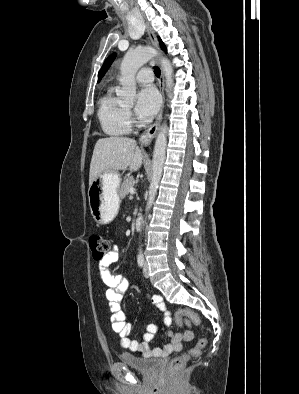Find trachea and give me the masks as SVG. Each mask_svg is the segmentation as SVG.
<instances>
[{"label": "trachea", "mask_w": 299, "mask_h": 394, "mask_svg": "<svg viewBox=\"0 0 299 394\" xmlns=\"http://www.w3.org/2000/svg\"><path fill=\"white\" fill-rule=\"evenodd\" d=\"M154 72L157 77H160L161 71L157 66L154 67Z\"/></svg>", "instance_id": "1"}]
</instances>
